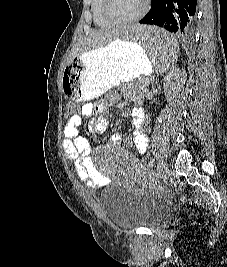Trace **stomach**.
I'll return each mask as SVG.
<instances>
[{
    "label": "stomach",
    "mask_w": 227,
    "mask_h": 267,
    "mask_svg": "<svg viewBox=\"0 0 227 267\" xmlns=\"http://www.w3.org/2000/svg\"><path fill=\"white\" fill-rule=\"evenodd\" d=\"M153 64L144 47L119 38L74 57L64 68L63 82L58 83L68 101H89L115 85L151 73Z\"/></svg>",
    "instance_id": "stomach-1"
}]
</instances>
